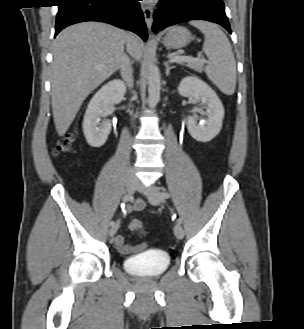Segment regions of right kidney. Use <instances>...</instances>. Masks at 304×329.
I'll return each mask as SVG.
<instances>
[{"label": "right kidney", "instance_id": "right-kidney-1", "mask_svg": "<svg viewBox=\"0 0 304 329\" xmlns=\"http://www.w3.org/2000/svg\"><path fill=\"white\" fill-rule=\"evenodd\" d=\"M126 87L120 80H112L103 85L90 100L83 120V132L87 143L101 147L111 131L108 121H101L109 114V105L118 104L123 99Z\"/></svg>", "mask_w": 304, "mask_h": 329}]
</instances>
